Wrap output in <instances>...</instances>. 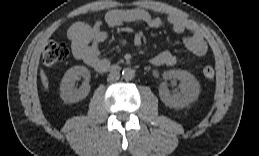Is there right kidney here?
<instances>
[{"mask_svg": "<svg viewBox=\"0 0 259 156\" xmlns=\"http://www.w3.org/2000/svg\"><path fill=\"white\" fill-rule=\"evenodd\" d=\"M80 77L84 78V82L81 87H75V81ZM90 72L84 66H74L66 71L64 74L61 85H60V94L61 98L66 103H76L84 98L90 92Z\"/></svg>", "mask_w": 259, "mask_h": 156, "instance_id": "ca27d5eb", "label": "right kidney"}]
</instances>
